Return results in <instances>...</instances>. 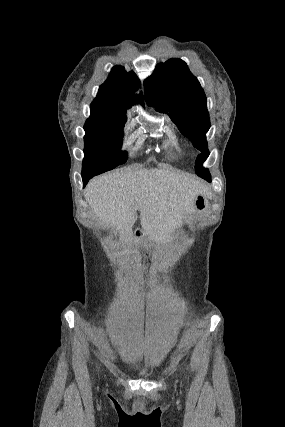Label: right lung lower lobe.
Returning a JSON list of instances; mask_svg holds the SVG:
<instances>
[{
	"label": "right lung lower lobe",
	"mask_w": 285,
	"mask_h": 427,
	"mask_svg": "<svg viewBox=\"0 0 285 427\" xmlns=\"http://www.w3.org/2000/svg\"><path fill=\"white\" fill-rule=\"evenodd\" d=\"M95 175H98L96 172L94 173H87V174H83L82 173V179H83V184L84 186L87 184V182Z\"/></svg>",
	"instance_id": "right-lung-lower-lobe-1"
}]
</instances>
